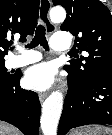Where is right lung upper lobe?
<instances>
[{"label":"right lung upper lobe","instance_id":"cb5924a9","mask_svg":"<svg viewBox=\"0 0 112 135\" xmlns=\"http://www.w3.org/2000/svg\"><path fill=\"white\" fill-rule=\"evenodd\" d=\"M39 0H0V61H4L15 34L26 40L37 25Z\"/></svg>","mask_w":112,"mask_h":135}]
</instances>
